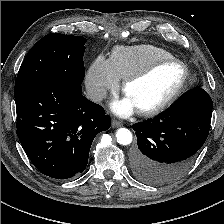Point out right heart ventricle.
I'll return each mask as SVG.
<instances>
[{
  "mask_svg": "<svg viewBox=\"0 0 224 224\" xmlns=\"http://www.w3.org/2000/svg\"><path fill=\"white\" fill-rule=\"evenodd\" d=\"M171 57L169 51L155 45L118 46L112 51L110 63L117 77L124 80L158 59Z\"/></svg>",
  "mask_w": 224,
  "mask_h": 224,
  "instance_id": "1",
  "label": "right heart ventricle"
}]
</instances>
